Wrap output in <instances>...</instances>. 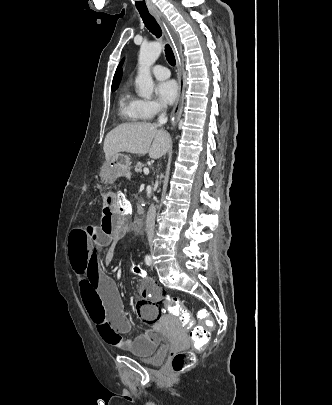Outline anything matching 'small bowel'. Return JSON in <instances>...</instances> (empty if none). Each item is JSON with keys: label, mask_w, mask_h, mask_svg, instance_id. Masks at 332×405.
Masks as SVG:
<instances>
[{"label": "small bowel", "mask_w": 332, "mask_h": 405, "mask_svg": "<svg viewBox=\"0 0 332 405\" xmlns=\"http://www.w3.org/2000/svg\"><path fill=\"white\" fill-rule=\"evenodd\" d=\"M113 164L110 160L100 170V177L106 183L116 181ZM104 188L100 225H77L69 234L68 256L76 277L77 298H82L84 313L104 342L125 351L152 353L157 344L167 342L166 335L160 334L158 323L161 301L167 292L145 277L139 286L141 297L136 302L135 312L142 320L152 323V328L134 340L124 338L123 334L130 332L132 323L125 314L116 283L101 269L99 249L113 247L128 233L129 227L115 210L119 200L116 191L108 184Z\"/></svg>", "instance_id": "obj_1"}]
</instances>
